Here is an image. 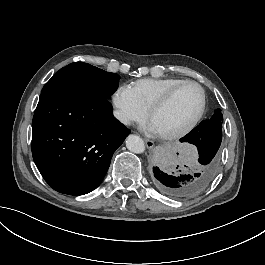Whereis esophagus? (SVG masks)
<instances>
[{
    "instance_id": "1",
    "label": "esophagus",
    "mask_w": 265,
    "mask_h": 265,
    "mask_svg": "<svg viewBox=\"0 0 265 265\" xmlns=\"http://www.w3.org/2000/svg\"><path fill=\"white\" fill-rule=\"evenodd\" d=\"M145 144L148 149H152L154 147V142L149 139H145Z\"/></svg>"
}]
</instances>
